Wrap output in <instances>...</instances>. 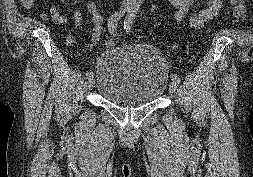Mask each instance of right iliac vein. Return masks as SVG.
Listing matches in <instances>:
<instances>
[{
  "label": "right iliac vein",
  "instance_id": "obj_1",
  "mask_svg": "<svg viewBox=\"0 0 253 177\" xmlns=\"http://www.w3.org/2000/svg\"><path fill=\"white\" fill-rule=\"evenodd\" d=\"M94 84H95L94 78L91 76V77L88 78V80H87V88H88L89 90H92L93 87H94Z\"/></svg>",
  "mask_w": 253,
  "mask_h": 177
}]
</instances>
